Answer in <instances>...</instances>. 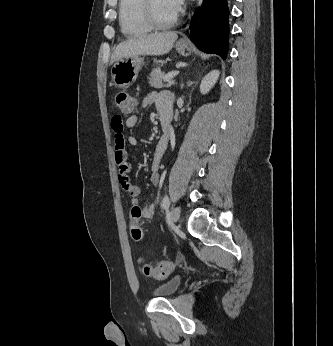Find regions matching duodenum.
Here are the masks:
<instances>
[{
    "label": "duodenum",
    "instance_id": "1",
    "mask_svg": "<svg viewBox=\"0 0 333 346\" xmlns=\"http://www.w3.org/2000/svg\"><path fill=\"white\" fill-rule=\"evenodd\" d=\"M159 120H160L162 137L168 138L169 131H170V120L165 116H160Z\"/></svg>",
    "mask_w": 333,
    "mask_h": 346
}]
</instances>
